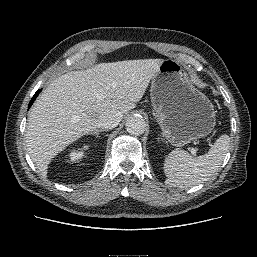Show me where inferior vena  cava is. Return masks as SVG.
I'll return each instance as SVG.
<instances>
[{"label": "inferior vena cava", "instance_id": "602c4592", "mask_svg": "<svg viewBox=\"0 0 257 257\" xmlns=\"http://www.w3.org/2000/svg\"><path fill=\"white\" fill-rule=\"evenodd\" d=\"M123 114L118 110H111L99 117L97 127L102 129L115 128L121 121Z\"/></svg>", "mask_w": 257, "mask_h": 257}]
</instances>
